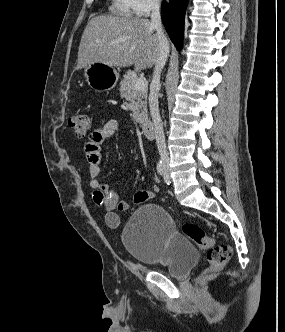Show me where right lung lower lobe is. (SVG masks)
Returning a JSON list of instances; mask_svg holds the SVG:
<instances>
[{
  "instance_id": "98d812e1",
  "label": "right lung lower lobe",
  "mask_w": 285,
  "mask_h": 332,
  "mask_svg": "<svg viewBox=\"0 0 285 332\" xmlns=\"http://www.w3.org/2000/svg\"><path fill=\"white\" fill-rule=\"evenodd\" d=\"M188 0H169L162 3L163 24L178 50L182 49L184 16Z\"/></svg>"
}]
</instances>
